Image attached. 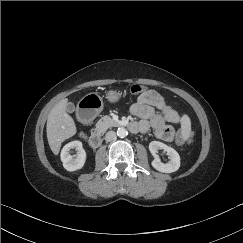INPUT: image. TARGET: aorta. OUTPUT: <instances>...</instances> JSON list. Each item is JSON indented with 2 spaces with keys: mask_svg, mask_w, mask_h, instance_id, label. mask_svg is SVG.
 Masks as SVG:
<instances>
[{
  "mask_svg": "<svg viewBox=\"0 0 243 243\" xmlns=\"http://www.w3.org/2000/svg\"><path fill=\"white\" fill-rule=\"evenodd\" d=\"M127 134H128V132H127V130H126L125 128H123V127H119V128L117 129V135H118L120 138H124V137H126Z\"/></svg>",
  "mask_w": 243,
  "mask_h": 243,
  "instance_id": "obj_1",
  "label": "aorta"
}]
</instances>
